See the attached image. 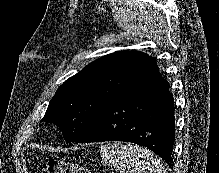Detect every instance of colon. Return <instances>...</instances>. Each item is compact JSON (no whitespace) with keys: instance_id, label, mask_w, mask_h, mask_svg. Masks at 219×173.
<instances>
[{"instance_id":"1","label":"colon","mask_w":219,"mask_h":173,"mask_svg":"<svg viewBox=\"0 0 219 173\" xmlns=\"http://www.w3.org/2000/svg\"><path fill=\"white\" fill-rule=\"evenodd\" d=\"M39 173H92L89 168L60 159H48Z\"/></svg>"}]
</instances>
